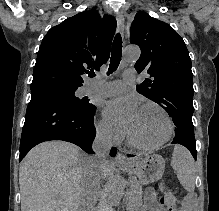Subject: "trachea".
<instances>
[{
	"label": "trachea",
	"mask_w": 219,
	"mask_h": 211,
	"mask_svg": "<svg viewBox=\"0 0 219 211\" xmlns=\"http://www.w3.org/2000/svg\"><path fill=\"white\" fill-rule=\"evenodd\" d=\"M121 57H122V39L120 34L118 33L116 34L112 44L111 60L107 74H111L113 71H115L118 68L121 61ZM89 76L93 78L95 76L94 72H91Z\"/></svg>",
	"instance_id": "1"
}]
</instances>
